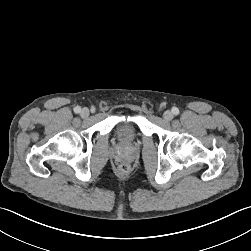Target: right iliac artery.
<instances>
[{"label":"right iliac artery","mask_w":251,"mask_h":251,"mask_svg":"<svg viewBox=\"0 0 251 251\" xmlns=\"http://www.w3.org/2000/svg\"><path fill=\"white\" fill-rule=\"evenodd\" d=\"M80 111H81V107L76 106V107L74 108V112H75V113H79Z\"/></svg>","instance_id":"obj_1"}]
</instances>
